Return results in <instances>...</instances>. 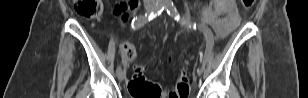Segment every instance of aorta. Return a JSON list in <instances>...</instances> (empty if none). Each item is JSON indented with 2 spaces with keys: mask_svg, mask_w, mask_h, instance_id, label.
<instances>
[{
  "mask_svg": "<svg viewBox=\"0 0 308 98\" xmlns=\"http://www.w3.org/2000/svg\"><path fill=\"white\" fill-rule=\"evenodd\" d=\"M161 2H163L167 6H172L173 5L172 0H161Z\"/></svg>",
  "mask_w": 308,
  "mask_h": 98,
  "instance_id": "obj_1",
  "label": "aorta"
}]
</instances>
